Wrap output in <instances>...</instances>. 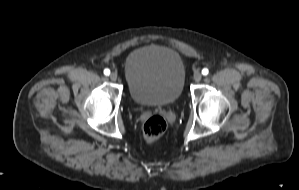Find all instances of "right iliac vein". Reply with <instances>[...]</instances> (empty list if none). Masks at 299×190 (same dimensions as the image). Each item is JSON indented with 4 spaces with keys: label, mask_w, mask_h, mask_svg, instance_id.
Listing matches in <instances>:
<instances>
[{
    "label": "right iliac vein",
    "mask_w": 299,
    "mask_h": 190,
    "mask_svg": "<svg viewBox=\"0 0 299 190\" xmlns=\"http://www.w3.org/2000/svg\"><path fill=\"white\" fill-rule=\"evenodd\" d=\"M117 78H118L117 73L113 72V73L110 74V79H111L112 81H116Z\"/></svg>",
    "instance_id": "63e3f726"
}]
</instances>
